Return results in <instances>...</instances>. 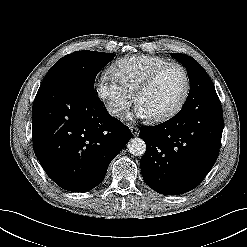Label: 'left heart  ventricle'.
Wrapping results in <instances>:
<instances>
[{"label":"left heart ventricle","instance_id":"b2bd125f","mask_svg":"<svg viewBox=\"0 0 247 247\" xmlns=\"http://www.w3.org/2000/svg\"><path fill=\"white\" fill-rule=\"evenodd\" d=\"M185 86L182 71L169 68L140 97L138 105L150 116L162 114L171 109L179 100Z\"/></svg>","mask_w":247,"mask_h":247}]
</instances>
